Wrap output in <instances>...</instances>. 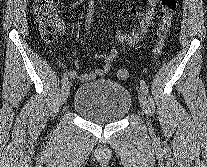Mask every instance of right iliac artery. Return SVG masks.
I'll return each mask as SVG.
<instances>
[{
	"label": "right iliac artery",
	"instance_id": "obj_1",
	"mask_svg": "<svg viewBox=\"0 0 207 167\" xmlns=\"http://www.w3.org/2000/svg\"><path fill=\"white\" fill-rule=\"evenodd\" d=\"M67 80H68V73H67V71L63 74V76H62V80H61V83H62V87H63V85L67 82Z\"/></svg>",
	"mask_w": 207,
	"mask_h": 167
}]
</instances>
